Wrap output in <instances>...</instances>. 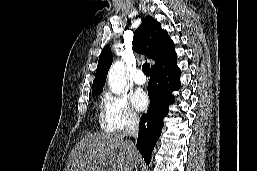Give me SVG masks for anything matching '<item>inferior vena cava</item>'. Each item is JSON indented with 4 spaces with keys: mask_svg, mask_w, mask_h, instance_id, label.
Returning a JSON list of instances; mask_svg holds the SVG:
<instances>
[{
    "mask_svg": "<svg viewBox=\"0 0 257 171\" xmlns=\"http://www.w3.org/2000/svg\"><path fill=\"white\" fill-rule=\"evenodd\" d=\"M139 130V117L136 114H131L129 116L125 131L123 132L124 136H138ZM137 171V170H136Z\"/></svg>",
    "mask_w": 257,
    "mask_h": 171,
    "instance_id": "1",
    "label": "inferior vena cava"
}]
</instances>
